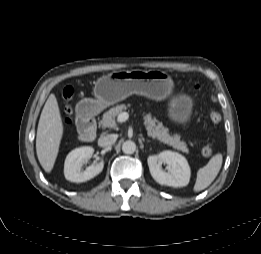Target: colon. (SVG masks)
<instances>
[{"instance_id":"obj_1","label":"colon","mask_w":261,"mask_h":254,"mask_svg":"<svg viewBox=\"0 0 261 254\" xmlns=\"http://www.w3.org/2000/svg\"><path fill=\"white\" fill-rule=\"evenodd\" d=\"M195 88L198 89V86H196ZM72 96H73V89L71 87H66L63 90V99L66 103L64 106V123L66 125H69L71 123V119H70L71 109L68 105V102L71 100ZM209 119L211 120V122L218 124L221 122L222 116L219 112L212 110L209 112ZM213 152L214 149L212 145H206L202 149V154L204 157H210L213 154Z\"/></svg>"}]
</instances>
